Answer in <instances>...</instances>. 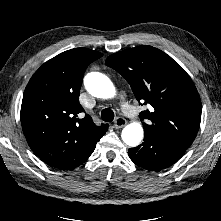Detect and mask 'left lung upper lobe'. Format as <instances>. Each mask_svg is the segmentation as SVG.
<instances>
[{
	"mask_svg": "<svg viewBox=\"0 0 221 221\" xmlns=\"http://www.w3.org/2000/svg\"><path fill=\"white\" fill-rule=\"evenodd\" d=\"M105 64L127 80L139 104L152 106L139 115L145 135L188 149L200 126L201 101L185 70L152 46L114 53Z\"/></svg>",
	"mask_w": 221,
	"mask_h": 221,
	"instance_id": "5c2ea615",
	"label": "left lung upper lobe"
}]
</instances>
